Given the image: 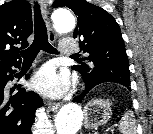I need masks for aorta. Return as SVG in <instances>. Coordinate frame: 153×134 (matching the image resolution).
I'll return each instance as SVG.
<instances>
[{
	"label": "aorta",
	"instance_id": "obj_1",
	"mask_svg": "<svg viewBox=\"0 0 153 134\" xmlns=\"http://www.w3.org/2000/svg\"><path fill=\"white\" fill-rule=\"evenodd\" d=\"M54 28L58 33H67L74 29L73 15L64 9H59L53 14ZM83 112L75 103L64 105L56 115V134H76L81 127Z\"/></svg>",
	"mask_w": 153,
	"mask_h": 134
}]
</instances>
